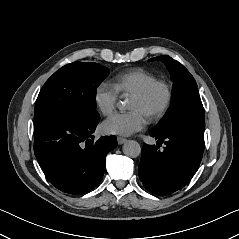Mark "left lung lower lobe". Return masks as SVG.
Listing matches in <instances>:
<instances>
[{
	"instance_id": "1",
	"label": "left lung lower lobe",
	"mask_w": 239,
	"mask_h": 239,
	"mask_svg": "<svg viewBox=\"0 0 239 239\" xmlns=\"http://www.w3.org/2000/svg\"><path fill=\"white\" fill-rule=\"evenodd\" d=\"M205 124L185 123L152 137L155 145H143L139 177L145 188L159 196L184 187L197 172L204 151ZM163 145V148L160 147Z\"/></svg>"
}]
</instances>
